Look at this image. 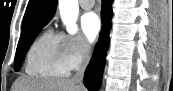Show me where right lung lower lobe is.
<instances>
[{
    "mask_svg": "<svg viewBox=\"0 0 173 91\" xmlns=\"http://www.w3.org/2000/svg\"><path fill=\"white\" fill-rule=\"evenodd\" d=\"M112 0H102V31L94 55L86 68L84 85L89 91H97L105 63V56L109 44V30L112 18Z\"/></svg>",
    "mask_w": 173,
    "mask_h": 91,
    "instance_id": "1",
    "label": "right lung lower lobe"
}]
</instances>
